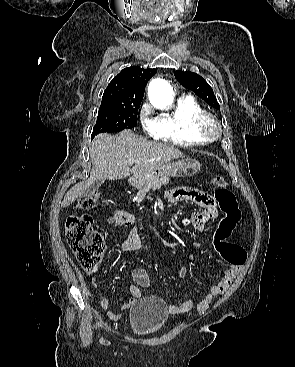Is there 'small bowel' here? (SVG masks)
I'll use <instances>...</instances> for the list:
<instances>
[{
  "label": "small bowel",
  "instance_id": "c3829d8e",
  "mask_svg": "<svg viewBox=\"0 0 295 367\" xmlns=\"http://www.w3.org/2000/svg\"><path fill=\"white\" fill-rule=\"evenodd\" d=\"M168 196L172 202H192L203 208L201 213L199 208L190 210V213L192 214L190 217V223L201 232H205L208 223L217 216L218 208L215 199L194 187L189 185L180 186L169 192ZM107 223L114 224L118 227L134 225L123 239L121 247L126 252L136 251L142 248V229L139 224H135V218L130 212L120 209L107 218ZM199 245V242H193L191 244L190 250L187 254L188 263L179 271L180 277L186 276L188 267L194 260V252ZM242 265L230 264L229 267L226 268L222 279L210 287V290L196 306L197 312L203 313L207 310L214 297L222 294L229 288L236 275L241 271ZM132 279L133 282L128 283V288L133 298L123 305V309L131 307L137 299L142 297L141 288H148L150 286V278L144 267H136L132 272ZM93 284L95 287L98 286V282L96 280H93ZM100 306L102 309L107 310L109 318L117 319L119 317V313L109 310V299L103 298L100 302ZM193 306V301L191 299H187L180 305H169L168 311L171 313H185L190 311Z\"/></svg>",
  "mask_w": 295,
  "mask_h": 367
}]
</instances>
